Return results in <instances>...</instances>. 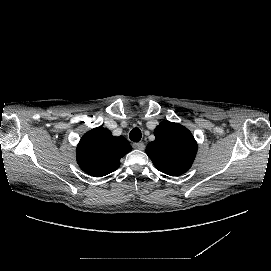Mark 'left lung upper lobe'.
I'll return each mask as SVG.
<instances>
[{
	"label": "left lung upper lobe",
	"instance_id": "left-lung-upper-lobe-1",
	"mask_svg": "<svg viewBox=\"0 0 271 271\" xmlns=\"http://www.w3.org/2000/svg\"><path fill=\"white\" fill-rule=\"evenodd\" d=\"M155 140L146 147V154L161 172L178 176L189 170L197 153V143L184 126L167 120L154 130Z\"/></svg>",
	"mask_w": 271,
	"mask_h": 271
}]
</instances>
